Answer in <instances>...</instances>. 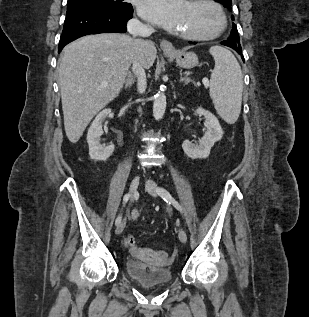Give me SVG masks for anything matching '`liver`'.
<instances>
[{"label": "liver", "instance_id": "1", "mask_svg": "<svg viewBox=\"0 0 309 317\" xmlns=\"http://www.w3.org/2000/svg\"><path fill=\"white\" fill-rule=\"evenodd\" d=\"M156 53L151 41H143L144 68L153 65ZM134 55L133 39L117 33L84 36L63 49L58 73L64 127L71 143L119 95Z\"/></svg>", "mask_w": 309, "mask_h": 317}]
</instances>
